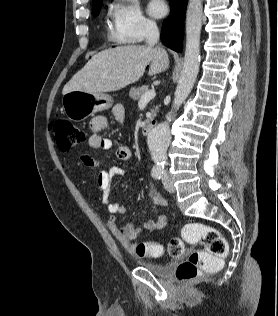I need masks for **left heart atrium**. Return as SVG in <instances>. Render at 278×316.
<instances>
[{
	"label": "left heart atrium",
	"instance_id": "left-heart-atrium-1",
	"mask_svg": "<svg viewBox=\"0 0 278 316\" xmlns=\"http://www.w3.org/2000/svg\"><path fill=\"white\" fill-rule=\"evenodd\" d=\"M148 12L155 18H161L168 12V5L164 0H151L148 4Z\"/></svg>",
	"mask_w": 278,
	"mask_h": 316
}]
</instances>
